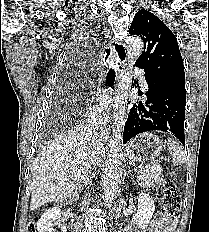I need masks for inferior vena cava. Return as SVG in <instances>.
<instances>
[{
	"label": "inferior vena cava",
	"mask_w": 209,
	"mask_h": 232,
	"mask_svg": "<svg viewBox=\"0 0 209 232\" xmlns=\"http://www.w3.org/2000/svg\"><path fill=\"white\" fill-rule=\"evenodd\" d=\"M96 144H97V145L94 146V160H95V161H94L93 165H95L96 160H99V157H100V149H99V146H98V145L101 144V141H100V140H97V141H96ZM92 175L94 176V172L92 173Z\"/></svg>",
	"instance_id": "602c4592"
}]
</instances>
